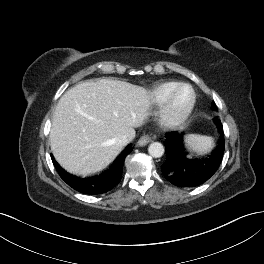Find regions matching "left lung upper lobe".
<instances>
[{"instance_id": "5c2ea615", "label": "left lung upper lobe", "mask_w": 264, "mask_h": 264, "mask_svg": "<svg viewBox=\"0 0 264 264\" xmlns=\"http://www.w3.org/2000/svg\"><path fill=\"white\" fill-rule=\"evenodd\" d=\"M212 108L215 110L216 109V107H215V105L214 104H212ZM214 122H215V119H214Z\"/></svg>"}]
</instances>
